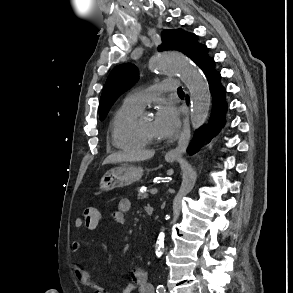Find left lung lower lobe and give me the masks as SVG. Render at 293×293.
Returning a JSON list of instances; mask_svg holds the SVG:
<instances>
[{"label":"left lung lower lobe","instance_id":"0a47b994","mask_svg":"<svg viewBox=\"0 0 293 293\" xmlns=\"http://www.w3.org/2000/svg\"><path fill=\"white\" fill-rule=\"evenodd\" d=\"M193 61L203 70L208 79L213 106L208 131L201 127L195 132L194 139L188 148V152L191 155L199 151L206 135L210 141L219 132L224 123L227 110L225 89L220 83L221 76L215 71L214 60L208 56L205 45L200 48Z\"/></svg>","mask_w":293,"mask_h":293}]
</instances>
